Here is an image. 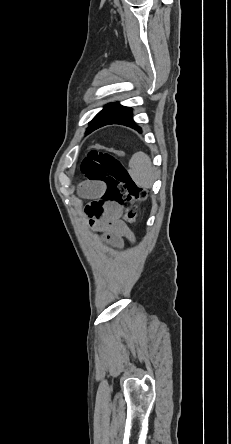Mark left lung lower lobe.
<instances>
[{
  "instance_id": "obj_1",
  "label": "left lung lower lobe",
  "mask_w": 231,
  "mask_h": 444,
  "mask_svg": "<svg viewBox=\"0 0 231 444\" xmlns=\"http://www.w3.org/2000/svg\"><path fill=\"white\" fill-rule=\"evenodd\" d=\"M108 124H121V125H125L128 127L134 128L138 131H141V129L139 127H137L133 121L131 109L128 107H123V109L117 115H115L111 118L104 119V120L92 125L87 130V133H90V132H92L102 126L108 125Z\"/></svg>"
}]
</instances>
